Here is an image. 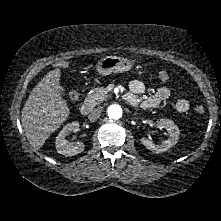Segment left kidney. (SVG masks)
Here are the masks:
<instances>
[{
  "instance_id": "left-kidney-1",
  "label": "left kidney",
  "mask_w": 221,
  "mask_h": 221,
  "mask_svg": "<svg viewBox=\"0 0 221 221\" xmlns=\"http://www.w3.org/2000/svg\"><path fill=\"white\" fill-rule=\"evenodd\" d=\"M157 123L165 127L168 131L169 138L165 140L162 144L156 145L152 141L142 137L141 143L149 150L155 153H161L169 150L173 145L177 143L180 131L178 126L172 120L169 119H159Z\"/></svg>"
}]
</instances>
